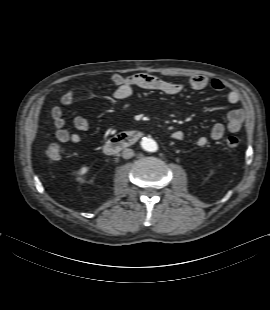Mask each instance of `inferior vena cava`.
<instances>
[{"label":"inferior vena cava","mask_w":270,"mask_h":310,"mask_svg":"<svg viewBox=\"0 0 270 310\" xmlns=\"http://www.w3.org/2000/svg\"><path fill=\"white\" fill-rule=\"evenodd\" d=\"M134 156V151L130 148H126L122 151V157L124 159H130Z\"/></svg>","instance_id":"602c4592"}]
</instances>
